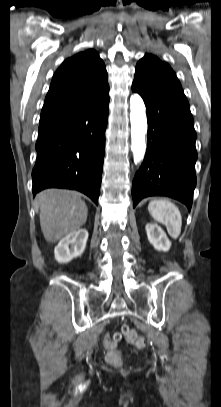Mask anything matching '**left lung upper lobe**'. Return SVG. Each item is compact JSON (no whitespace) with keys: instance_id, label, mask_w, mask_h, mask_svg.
<instances>
[{"instance_id":"left-lung-upper-lobe-1","label":"left lung upper lobe","mask_w":221,"mask_h":407,"mask_svg":"<svg viewBox=\"0 0 221 407\" xmlns=\"http://www.w3.org/2000/svg\"><path fill=\"white\" fill-rule=\"evenodd\" d=\"M133 84L148 91L161 92L170 89L182 90L171 67L156 56L146 54L136 65Z\"/></svg>"}]
</instances>
